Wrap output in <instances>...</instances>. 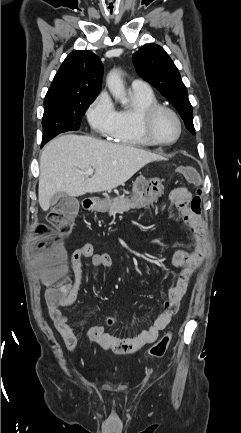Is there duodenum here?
I'll return each instance as SVG.
<instances>
[{
	"instance_id": "410a0bca",
	"label": "duodenum",
	"mask_w": 241,
	"mask_h": 433,
	"mask_svg": "<svg viewBox=\"0 0 241 433\" xmlns=\"http://www.w3.org/2000/svg\"><path fill=\"white\" fill-rule=\"evenodd\" d=\"M84 208L88 211H93L98 206V201L92 198H85L83 201Z\"/></svg>"
}]
</instances>
